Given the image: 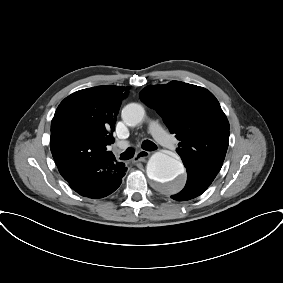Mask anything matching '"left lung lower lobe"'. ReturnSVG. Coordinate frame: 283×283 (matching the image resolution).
<instances>
[{
	"label": "left lung lower lobe",
	"mask_w": 283,
	"mask_h": 283,
	"mask_svg": "<svg viewBox=\"0 0 283 283\" xmlns=\"http://www.w3.org/2000/svg\"><path fill=\"white\" fill-rule=\"evenodd\" d=\"M188 179L185 188L172 198L178 201L190 200L201 195L212 183L214 179L211 177L196 174L188 171Z\"/></svg>",
	"instance_id": "obj_1"
}]
</instances>
